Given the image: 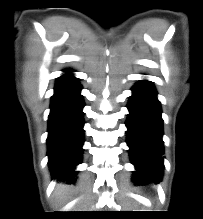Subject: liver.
Here are the masks:
<instances>
[{
	"mask_svg": "<svg viewBox=\"0 0 203 219\" xmlns=\"http://www.w3.org/2000/svg\"><path fill=\"white\" fill-rule=\"evenodd\" d=\"M60 188H62L61 186L59 187V191H58V194L60 193Z\"/></svg>",
	"mask_w": 203,
	"mask_h": 219,
	"instance_id": "6515ba94",
	"label": "liver"
}]
</instances>
